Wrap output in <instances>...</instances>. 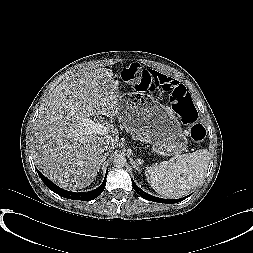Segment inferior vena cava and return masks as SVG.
I'll return each mask as SVG.
<instances>
[{"mask_svg":"<svg viewBox=\"0 0 253 253\" xmlns=\"http://www.w3.org/2000/svg\"><path fill=\"white\" fill-rule=\"evenodd\" d=\"M112 147H113V145L112 146L111 145H106L104 149L105 150H110Z\"/></svg>","mask_w":253,"mask_h":253,"instance_id":"1","label":"inferior vena cava"}]
</instances>
